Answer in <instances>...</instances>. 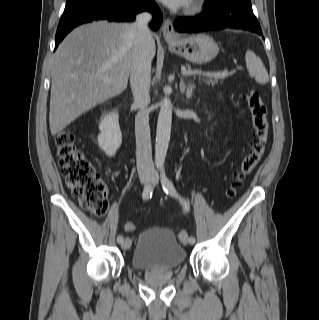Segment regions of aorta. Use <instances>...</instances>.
<instances>
[{"label": "aorta", "mask_w": 319, "mask_h": 320, "mask_svg": "<svg viewBox=\"0 0 319 320\" xmlns=\"http://www.w3.org/2000/svg\"><path fill=\"white\" fill-rule=\"evenodd\" d=\"M172 124V104L169 97H164L160 102V111L157 122V133L155 143V164L162 167L165 162L166 153L170 141Z\"/></svg>", "instance_id": "762f6f07"}]
</instances>
